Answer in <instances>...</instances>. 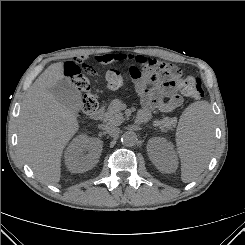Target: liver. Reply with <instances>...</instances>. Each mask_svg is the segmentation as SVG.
<instances>
[{"label": "liver", "mask_w": 245, "mask_h": 245, "mask_svg": "<svg viewBox=\"0 0 245 245\" xmlns=\"http://www.w3.org/2000/svg\"><path fill=\"white\" fill-rule=\"evenodd\" d=\"M63 78V62L50 65L28 89L19 116L20 155L44 184L60 181L63 150L79 129L75 113L51 92Z\"/></svg>", "instance_id": "1"}]
</instances>
